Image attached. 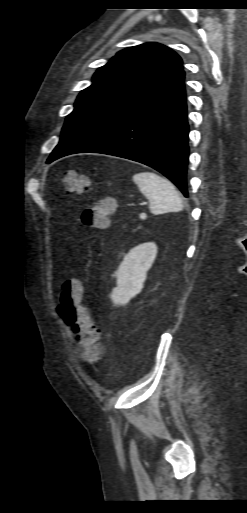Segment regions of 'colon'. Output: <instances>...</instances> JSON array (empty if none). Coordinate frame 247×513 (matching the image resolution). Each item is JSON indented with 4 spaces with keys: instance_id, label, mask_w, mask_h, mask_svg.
<instances>
[{
    "instance_id": "1",
    "label": "colon",
    "mask_w": 247,
    "mask_h": 513,
    "mask_svg": "<svg viewBox=\"0 0 247 513\" xmlns=\"http://www.w3.org/2000/svg\"><path fill=\"white\" fill-rule=\"evenodd\" d=\"M64 180L72 193L85 194L89 191V180L77 172H67ZM114 212L115 205L111 199H104L86 209L82 214V221L85 225L104 229L110 225ZM83 293L84 286L80 278L67 279L61 288L58 310L75 338L83 346L82 358L85 361H100L104 350L98 342L99 330L92 314L82 302Z\"/></svg>"
}]
</instances>
